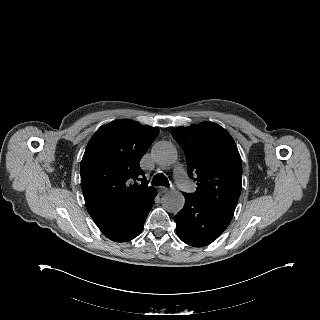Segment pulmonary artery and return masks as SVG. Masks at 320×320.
Here are the masks:
<instances>
[{"instance_id": "1", "label": "pulmonary artery", "mask_w": 320, "mask_h": 320, "mask_svg": "<svg viewBox=\"0 0 320 320\" xmlns=\"http://www.w3.org/2000/svg\"><path fill=\"white\" fill-rule=\"evenodd\" d=\"M174 178H175L176 183L180 187H183L186 185L189 186L191 184L190 180L186 176V173L180 167H178L174 170Z\"/></svg>"}]
</instances>
